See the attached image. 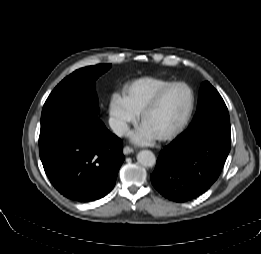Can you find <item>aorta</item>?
I'll list each match as a JSON object with an SVG mask.
<instances>
[{"instance_id":"aorta-1","label":"aorta","mask_w":261,"mask_h":254,"mask_svg":"<svg viewBox=\"0 0 261 254\" xmlns=\"http://www.w3.org/2000/svg\"><path fill=\"white\" fill-rule=\"evenodd\" d=\"M137 161L145 167H152L156 163V157L150 150H142L137 154Z\"/></svg>"}]
</instances>
